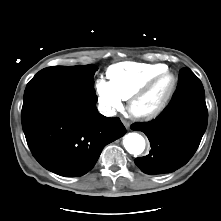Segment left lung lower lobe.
<instances>
[{
  "label": "left lung lower lobe",
  "mask_w": 221,
  "mask_h": 221,
  "mask_svg": "<svg viewBox=\"0 0 221 221\" xmlns=\"http://www.w3.org/2000/svg\"><path fill=\"white\" fill-rule=\"evenodd\" d=\"M207 121L203 85L190 69L183 68L176 91L164 111L153 121L131 126L144 132L151 143L149 154L136 158L135 164L150 175L177 170L196 152Z\"/></svg>",
  "instance_id": "obj_1"
}]
</instances>
